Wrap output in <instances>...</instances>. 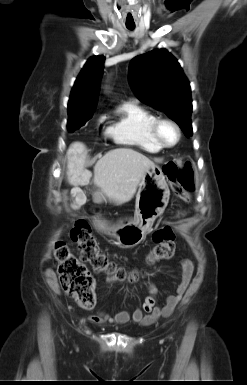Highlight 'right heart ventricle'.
I'll return each instance as SVG.
<instances>
[{"label":"right heart ventricle","instance_id":"right-heart-ventricle-1","mask_svg":"<svg viewBox=\"0 0 247 385\" xmlns=\"http://www.w3.org/2000/svg\"><path fill=\"white\" fill-rule=\"evenodd\" d=\"M107 134L117 143L133 146L147 153H158L161 147L154 141L150 127L157 116L133 102L120 105Z\"/></svg>","mask_w":247,"mask_h":385}]
</instances>
